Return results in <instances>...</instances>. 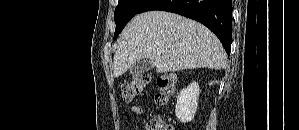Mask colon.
Segmentation results:
<instances>
[{
	"instance_id": "1",
	"label": "colon",
	"mask_w": 299,
	"mask_h": 130,
	"mask_svg": "<svg viewBox=\"0 0 299 130\" xmlns=\"http://www.w3.org/2000/svg\"><path fill=\"white\" fill-rule=\"evenodd\" d=\"M150 81L151 77L148 73L135 74L130 81L121 86L123 99L127 102L132 101L142 93ZM157 85L159 91L155 95V102L158 105H165L176 90L177 76L174 73H162L157 78ZM145 128L146 130H175L172 125L158 117L149 120Z\"/></svg>"
}]
</instances>
